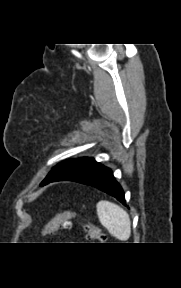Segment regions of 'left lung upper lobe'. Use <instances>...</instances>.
Listing matches in <instances>:
<instances>
[{
  "instance_id": "left-lung-upper-lobe-1",
  "label": "left lung upper lobe",
  "mask_w": 181,
  "mask_h": 288,
  "mask_svg": "<svg viewBox=\"0 0 181 288\" xmlns=\"http://www.w3.org/2000/svg\"><path fill=\"white\" fill-rule=\"evenodd\" d=\"M102 166L103 165L96 162L94 158L81 157L69 159L53 167L41 184L63 180L79 182Z\"/></svg>"
}]
</instances>
